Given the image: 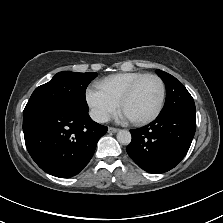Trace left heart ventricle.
<instances>
[{"label":"left heart ventricle","instance_id":"obj_1","mask_svg":"<svg viewBox=\"0 0 223 223\" xmlns=\"http://www.w3.org/2000/svg\"><path fill=\"white\" fill-rule=\"evenodd\" d=\"M159 97V82L154 78H148L124 103L121 107V112L130 119L145 118L155 110Z\"/></svg>","mask_w":223,"mask_h":223}]
</instances>
